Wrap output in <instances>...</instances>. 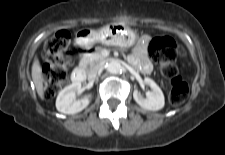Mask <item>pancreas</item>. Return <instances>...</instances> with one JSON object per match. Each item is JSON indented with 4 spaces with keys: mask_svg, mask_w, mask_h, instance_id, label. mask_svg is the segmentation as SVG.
<instances>
[{
    "mask_svg": "<svg viewBox=\"0 0 225 155\" xmlns=\"http://www.w3.org/2000/svg\"><path fill=\"white\" fill-rule=\"evenodd\" d=\"M102 50V47H96L94 53L83 56L80 60L79 66L82 68H87L88 65L93 66L104 61L106 58L101 54Z\"/></svg>",
    "mask_w": 225,
    "mask_h": 155,
    "instance_id": "obj_1",
    "label": "pancreas"
}]
</instances>
